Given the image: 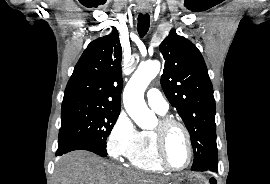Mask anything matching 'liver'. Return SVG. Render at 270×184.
Listing matches in <instances>:
<instances>
[{
	"instance_id": "obj_1",
	"label": "liver",
	"mask_w": 270,
	"mask_h": 184,
	"mask_svg": "<svg viewBox=\"0 0 270 184\" xmlns=\"http://www.w3.org/2000/svg\"><path fill=\"white\" fill-rule=\"evenodd\" d=\"M53 184H166V180L119 167L87 151H73L56 162Z\"/></svg>"
}]
</instances>
